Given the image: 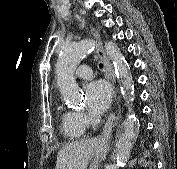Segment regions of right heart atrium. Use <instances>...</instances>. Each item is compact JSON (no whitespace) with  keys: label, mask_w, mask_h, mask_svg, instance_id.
I'll return each mask as SVG.
<instances>
[{"label":"right heart atrium","mask_w":177,"mask_h":169,"mask_svg":"<svg viewBox=\"0 0 177 169\" xmlns=\"http://www.w3.org/2000/svg\"><path fill=\"white\" fill-rule=\"evenodd\" d=\"M77 121L82 126H87L90 122L89 118L83 113H76Z\"/></svg>","instance_id":"d8ad5b80"}]
</instances>
